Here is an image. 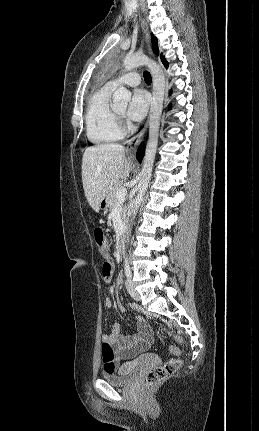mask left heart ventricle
Masks as SVG:
<instances>
[{"instance_id": "left-heart-ventricle-1", "label": "left heart ventricle", "mask_w": 259, "mask_h": 431, "mask_svg": "<svg viewBox=\"0 0 259 431\" xmlns=\"http://www.w3.org/2000/svg\"><path fill=\"white\" fill-rule=\"evenodd\" d=\"M124 110H125V108H124V107L117 108V111H118V112H120V113H123V112H124Z\"/></svg>"}]
</instances>
